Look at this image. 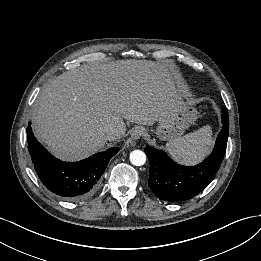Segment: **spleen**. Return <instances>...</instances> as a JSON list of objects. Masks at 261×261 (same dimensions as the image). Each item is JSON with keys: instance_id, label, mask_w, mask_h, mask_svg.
Returning a JSON list of instances; mask_svg holds the SVG:
<instances>
[{"instance_id": "spleen-1", "label": "spleen", "mask_w": 261, "mask_h": 261, "mask_svg": "<svg viewBox=\"0 0 261 261\" xmlns=\"http://www.w3.org/2000/svg\"><path fill=\"white\" fill-rule=\"evenodd\" d=\"M212 144V130L207 125L193 133L170 140L166 148L177 161L192 164L202 159L209 152Z\"/></svg>"}]
</instances>
